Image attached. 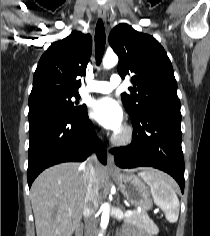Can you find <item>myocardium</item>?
Here are the masks:
<instances>
[{"label":"myocardium","mask_w":210,"mask_h":236,"mask_svg":"<svg viewBox=\"0 0 210 236\" xmlns=\"http://www.w3.org/2000/svg\"><path fill=\"white\" fill-rule=\"evenodd\" d=\"M133 134V128L130 125H126L119 132L114 134V136L112 137V141L116 145H127L132 141Z\"/></svg>","instance_id":"myocardium-1"}]
</instances>
